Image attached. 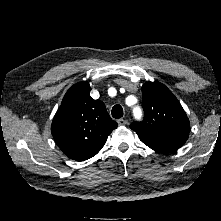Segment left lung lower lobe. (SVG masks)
<instances>
[{
    "instance_id": "left-lung-lower-lobe-1",
    "label": "left lung lower lobe",
    "mask_w": 221,
    "mask_h": 221,
    "mask_svg": "<svg viewBox=\"0 0 221 221\" xmlns=\"http://www.w3.org/2000/svg\"><path fill=\"white\" fill-rule=\"evenodd\" d=\"M141 141L151 149L160 153H170L180 148L186 141L168 140L150 135H138Z\"/></svg>"
}]
</instances>
